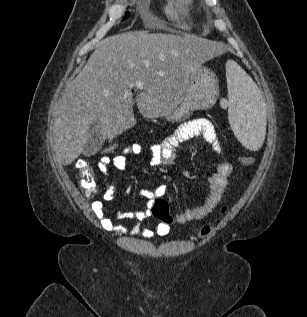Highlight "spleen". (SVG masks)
Returning a JSON list of instances; mask_svg holds the SVG:
<instances>
[{"label": "spleen", "mask_w": 307, "mask_h": 317, "mask_svg": "<svg viewBox=\"0 0 307 317\" xmlns=\"http://www.w3.org/2000/svg\"><path fill=\"white\" fill-rule=\"evenodd\" d=\"M229 109L228 119L240 143L258 150L266 131V112L262 93L249 75L234 61L226 63Z\"/></svg>", "instance_id": "spleen-1"}]
</instances>
